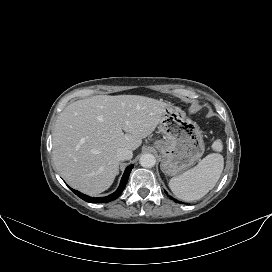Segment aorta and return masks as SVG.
<instances>
[{
  "mask_svg": "<svg viewBox=\"0 0 272 272\" xmlns=\"http://www.w3.org/2000/svg\"><path fill=\"white\" fill-rule=\"evenodd\" d=\"M140 165L145 168H151L156 164V158L151 153H146L140 157Z\"/></svg>",
  "mask_w": 272,
  "mask_h": 272,
  "instance_id": "762f6f07",
  "label": "aorta"
}]
</instances>
